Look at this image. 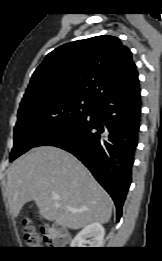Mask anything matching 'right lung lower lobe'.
Masks as SVG:
<instances>
[{
  "label": "right lung lower lobe",
  "mask_w": 162,
  "mask_h": 261,
  "mask_svg": "<svg viewBox=\"0 0 162 261\" xmlns=\"http://www.w3.org/2000/svg\"><path fill=\"white\" fill-rule=\"evenodd\" d=\"M140 88L106 95L91 111L57 128L34 147L55 146L76 156L110 194L117 221L131 184L140 123Z\"/></svg>",
  "instance_id": "1"
}]
</instances>
